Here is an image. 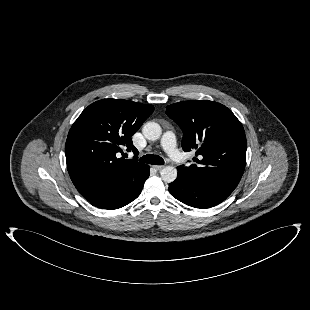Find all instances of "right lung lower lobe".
<instances>
[{"label":"right lung lower lobe","mask_w":310,"mask_h":310,"mask_svg":"<svg viewBox=\"0 0 310 310\" xmlns=\"http://www.w3.org/2000/svg\"><path fill=\"white\" fill-rule=\"evenodd\" d=\"M148 177H149V166L143 173L139 182L134 187L125 190L123 192L88 199V201L98 208L109 210L121 208L129 204L133 200H135L140 195L143 188V184Z\"/></svg>","instance_id":"98d812e1"}]
</instances>
